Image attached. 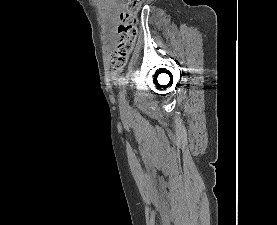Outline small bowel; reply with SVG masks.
Masks as SVG:
<instances>
[{
	"instance_id": "1",
	"label": "small bowel",
	"mask_w": 277,
	"mask_h": 225,
	"mask_svg": "<svg viewBox=\"0 0 277 225\" xmlns=\"http://www.w3.org/2000/svg\"><path fill=\"white\" fill-rule=\"evenodd\" d=\"M120 13V6H113L112 9L109 12V17L112 19H116L119 16Z\"/></svg>"
}]
</instances>
